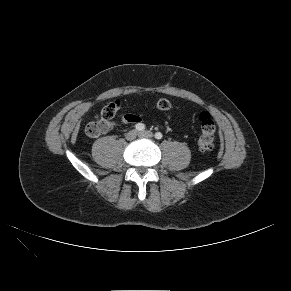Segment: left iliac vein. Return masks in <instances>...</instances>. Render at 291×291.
Here are the masks:
<instances>
[{
  "mask_svg": "<svg viewBox=\"0 0 291 291\" xmlns=\"http://www.w3.org/2000/svg\"><path fill=\"white\" fill-rule=\"evenodd\" d=\"M139 136L143 138H152L153 134L150 131H142V132H139Z\"/></svg>",
  "mask_w": 291,
  "mask_h": 291,
  "instance_id": "obj_1",
  "label": "left iliac vein"
}]
</instances>
